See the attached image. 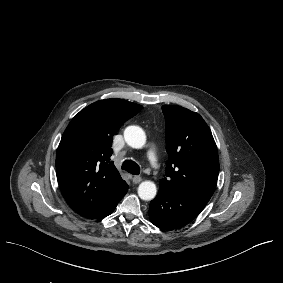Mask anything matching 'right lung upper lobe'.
<instances>
[{
    "instance_id": "1",
    "label": "right lung upper lobe",
    "mask_w": 283,
    "mask_h": 283,
    "mask_svg": "<svg viewBox=\"0 0 283 283\" xmlns=\"http://www.w3.org/2000/svg\"><path fill=\"white\" fill-rule=\"evenodd\" d=\"M142 108L122 99L100 100L69 123L57 149L56 174L64 198L78 214L98 217L125 195L128 185L110 161L112 138Z\"/></svg>"
}]
</instances>
